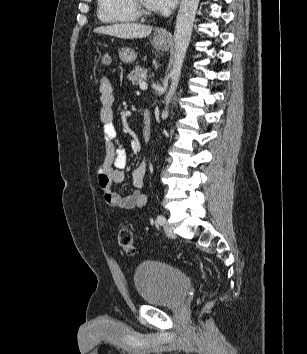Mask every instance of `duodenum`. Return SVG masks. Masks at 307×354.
I'll use <instances>...</instances> for the list:
<instances>
[{
    "instance_id": "1",
    "label": "duodenum",
    "mask_w": 307,
    "mask_h": 354,
    "mask_svg": "<svg viewBox=\"0 0 307 354\" xmlns=\"http://www.w3.org/2000/svg\"><path fill=\"white\" fill-rule=\"evenodd\" d=\"M142 118H143V123L145 125H149L152 119V114L150 110L148 109L144 110Z\"/></svg>"
}]
</instances>
